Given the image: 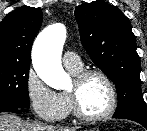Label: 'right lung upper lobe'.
<instances>
[{"mask_svg": "<svg viewBox=\"0 0 147 131\" xmlns=\"http://www.w3.org/2000/svg\"><path fill=\"white\" fill-rule=\"evenodd\" d=\"M40 8L20 7L0 22V62L30 65L31 47L42 24Z\"/></svg>", "mask_w": 147, "mask_h": 131, "instance_id": "obj_1", "label": "right lung upper lobe"}]
</instances>
